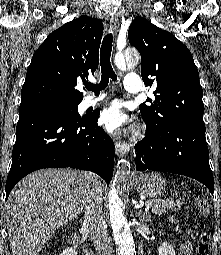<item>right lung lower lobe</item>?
<instances>
[{
    "mask_svg": "<svg viewBox=\"0 0 221 255\" xmlns=\"http://www.w3.org/2000/svg\"><path fill=\"white\" fill-rule=\"evenodd\" d=\"M98 117L99 114L93 113L74 120L56 110H20L6 199L20 179L43 168L90 170L109 182L115 147L98 126Z\"/></svg>",
    "mask_w": 221,
    "mask_h": 255,
    "instance_id": "98d812e1",
    "label": "right lung lower lobe"
}]
</instances>
